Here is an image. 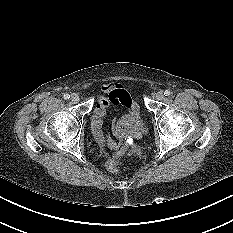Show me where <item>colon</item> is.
I'll list each match as a JSON object with an SVG mask.
<instances>
[{"label":"colon","mask_w":233,"mask_h":233,"mask_svg":"<svg viewBox=\"0 0 233 233\" xmlns=\"http://www.w3.org/2000/svg\"><path fill=\"white\" fill-rule=\"evenodd\" d=\"M119 165H120L119 158H111L106 162V167L108 168V170L114 173H118L120 171Z\"/></svg>","instance_id":"1"}]
</instances>
